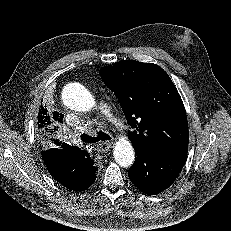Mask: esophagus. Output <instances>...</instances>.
<instances>
[{"label": "esophagus", "mask_w": 231, "mask_h": 231, "mask_svg": "<svg viewBox=\"0 0 231 231\" xmlns=\"http://www.w3.org/2000/svg\"><path fill=\"white\" fill-rule=\"evenodd\" d=\"M111 146H112L111 142H108V141L101 142V143L98 144V150L101 153H106V152H108L110 150Z\"/></svg>", "instance_id": "esophagus-1"}]
</instances>
